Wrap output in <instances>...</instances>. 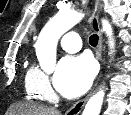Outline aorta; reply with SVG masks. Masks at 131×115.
<instances>
[{"instance_id": "aorta-1", "label": "aorta", "mask_w": 131, "mask_h": 115, "mask_svg": "<svg viewBox=\"0 0 131 115\" xmlns=\"http://www.w3.org/2000/svg\"><path fill=\"white\" fill-rule=\"evenodd\" d=\"M84 15L74 10H62L57 13L40 32L35 44L36 55L42 70L51 74L56 65V48L59 38L76 25ZM103 31L108 37L110 54L114 51L113 30L106 19H102ZM105 92L100 89L88 100L82 115H99Z\"/></svg>"}]
</instances>
